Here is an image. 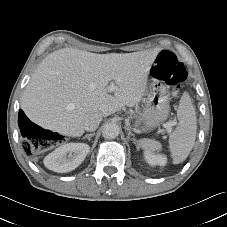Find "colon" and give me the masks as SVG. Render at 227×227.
Here are the masks:
<instances>
[{
    "mask_svg": "<svg viewBox=\"0 0 227 227\" xmlns=\"http://www.w3.org/2000/svg\"><path fill=\"white\" fill-rule=\"evenodd\" d=\"M152 74L155 78L165 82L177 94L187 78V71L182 62L175 54L169 51L161 52L152 67ZM50 133L44 130H33L31 136L23 143V150L26 154L41 152L49 147Z\"/></svg>",
    "mask_w": 227,
    "mask_h": 227,
    "instance_id": "5ec220e1",
    "label": "colon"
}]
</instances>
